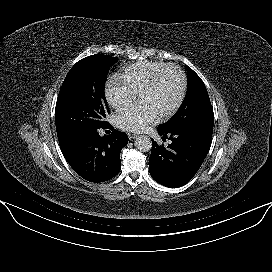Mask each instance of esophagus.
<instances>
[{
  "label": "esophagus",
  "instance_id": "1",
  "mask_svg": "<svg viewBox=\"0 0 272 272\" xmlns=\"http://www.w3.org/2000/svg\"><path fill=\"white\" fill-rule=\"evenodd\" d=\"M136 137H137L136 134L128 133V138H129V140H133V139H135Z\"/></svg>",
  "mask_w": 272,
  "mask_h": 272
}]
</instances>
